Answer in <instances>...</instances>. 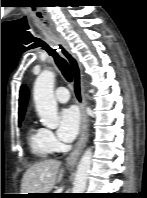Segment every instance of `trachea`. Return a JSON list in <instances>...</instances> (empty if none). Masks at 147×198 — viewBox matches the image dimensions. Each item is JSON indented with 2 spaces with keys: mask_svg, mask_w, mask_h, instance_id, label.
<instances>
[{
  "mask_svg": "<svg viewBox=\"0 0 147 198\" xmlns=\"http://www.w3.org/2000/svg\"><path fill=\"white\" fill-rule=\"evenodd\" d=\"M44 49L48 52L49 55H51L54 58L56 65L62 72L65 79L68 82H71L72 73L67 61L64 58H62L56 51L52 50L49 46H45Z\"/></svg>",
  "mask_w": 147,
  "mask_h": 198,
  "instance_id": "3493384b",
  "label": "trachea"
}]
</instances>
